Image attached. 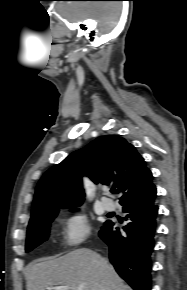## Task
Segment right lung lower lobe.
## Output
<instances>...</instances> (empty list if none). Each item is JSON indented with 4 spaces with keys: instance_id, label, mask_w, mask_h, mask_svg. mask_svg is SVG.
Returning a JSON list of instances; mask_svg holds the SVG:
<instances>
[{
    "instance_id": "1",
    "label": "right lung lower lobe",
    "mask_w": 187,
    "mask_h": 290,
    "mask_svg": "<svg viewBox=\"0 0 187 290\" xmlns=\"http://www.w3.org/2000/svg\"><path fill=\"white\" fill-rule=\"evenodd\" d=\"M129 223L124 233L114 222L107 221L99 237L109 246V259L118 274L134 290H151V256L155 246L158 206L155 199L123 207Z\"/></svg>"
}]
</instances>
